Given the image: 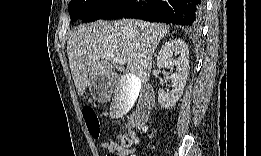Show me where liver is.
I'll return each instance as SVG.
<instances>
[{
    "label": "liver",
    "mask_w": 261,
    "mask_h": 156,
    "mask_svg": "<svg viewBox=\"0 0 261 156\" xmlns=\"http://www.w3.org/2000/svg\"><path fill=\"white\" fill-rule=\"evenodd\" d=\"M168 33L167 25L135 19L78 26L67 41L69 65L78 95L85 93L90 79L116 76L114 66L101 57L103 54L125 59L130 73L146 83L153 54ZM132 104L133 101L119 94L110 106L111 116H122Z\"/></svg>",
    "instance_id": "obj_1"
}]
</instances>
